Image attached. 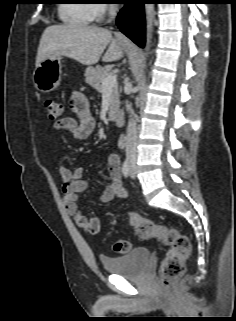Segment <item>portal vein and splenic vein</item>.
Instances as JSON below:
<instances>
[{
    "label": "portal vein and splenic vein",
    "mask_w": 236,
    "mask_h": 321,
    "mask_svg": "<svg viewBox=\"0 0 236 321\" xmlns=\"http://www.w3.org/2000/svg\"><path fill=\"white\" fill-rule=\"evenodd\" d=\"M102 83L105 88L114 87L117 84V77L116 75H113V74L108 75L103 79Z\"/></svg>",
    "instance_id": "obj_1"
}]
</instances>
